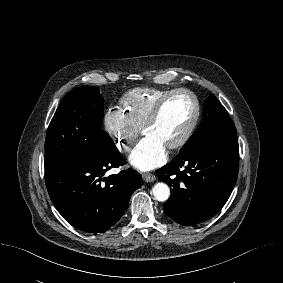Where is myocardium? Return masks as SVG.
<instances>
[{
    "instance_id": "obj_1",
    "label": "myocardium",
    "mask_w": 283,
    "mask_h": 283,
    "mask_svg": "<svg viewBox=\"0 0 283 283\" xmlns=\"http://www.w3.org/2000/svg\"><path fill=\"white\" fill-rule=\"evenodd\" d=\"M178 94H184L189 96L195 106V113L194 116L192 118V121L190 123V125L188 126V128L186 129V131L183 133V135L174 143L170 144L167 146L168 149L174 150V149H179L181 147H183L184 145H186L188 143V141L191 139L192 135L194 134L200 118H201V103L197 97V95L191 91L190 89L187 88H178V89H173L172 91L166 93L165 95H163L153 106L150 114L148 115L147 119L145 120L141 130L142 133H144V131L152 126L159 118L164 106L166 105V103L175 95Z\"/></svg>"
}]
</instances>
